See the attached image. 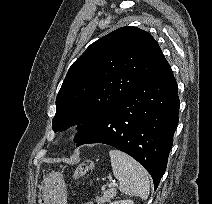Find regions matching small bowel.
Instances as JSON below:
<instances>
[{"label": "small bowel", "instance_id": "1", "mask_svg": "<svg viewBox=\"0 0 212 204\" xmlns=\"http://www.w3.org/2000/svg\"><path fill=\"white\" fill-rule=\"evenodd\" d=\"M84 204H93V203H91V202H87V203H84Z\"/></svg>", "mask_w": 212, "mask_h": 204}]
</instances>
